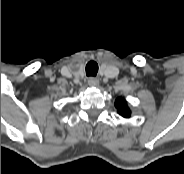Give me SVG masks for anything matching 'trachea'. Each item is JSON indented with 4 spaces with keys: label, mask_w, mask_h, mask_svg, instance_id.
<instances>
[{
    "label": "trachea",
    "mask_w": 184,
    "mask_h": 174,
    "mask_svg": "<svg viewBox=\"0 0 184 174\" xmlns=\"http://www.w3.org/2000/svg\"><path fill=\"white\" fill-rule=\"evenodd\" d=\"M98 72V64L95 61H89L86 65V75L95 77Z\"/></svg>",
    "instance_id": "3493384b"
}]
</instances>
